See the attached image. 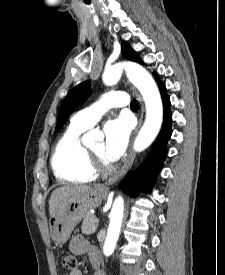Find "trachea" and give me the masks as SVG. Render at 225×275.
Returning <instances> with one entry per match:
<instances>
[{"label":"trachea","instance_id":"obj_1","mask_svg":"<svg viewBox=\"0 0 225 275\" xmlns=\"http://www.w3.org/2000/svg\"><path fill=\"white\" fill-rule=\"evenodd\" d=\"M131 109H138V101L133 100L130 105Z\"/></svg>","mask_w":225,"mask_h":275}]
</instances>
